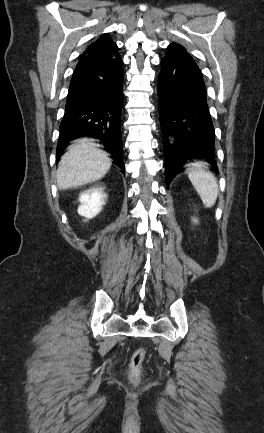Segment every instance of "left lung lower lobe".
I'll list each match as a JSON object with an SVG mask.
<instances>
[{"instance_id":"obj_1","label":"left lung lower lobe","mask_w":264,"mask_h":433,"mask_svg":"<svg viewBox=\"0 0 264 433\" xmlns=\"http://www.w3.org/2000/svg\"><path fill=\"white\" fill-rule=\"evenodd\" d=\"M158 78L166 184L183 165L204 159L218 172L214 155V127L201 70L185 50H169Z\"/></svg>"}]
</instances>
